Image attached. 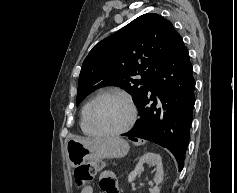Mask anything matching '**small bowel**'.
Returning a JSON list of instances; mask_svg holds the SVG:
<instances>
[{"instance_id": "c3829d8e", "label": "small bowel", "mask_w": 237, "mask_h": 193, "mask_svg": "<svg viewBox=\"0 0 237 193\" xmlns=\"http://www.w3.org/2000/svg\"><path fill=\"white\" fill-rule=\"evenodd\" d=\"M100 188L104 193H119L116 175L112 171H103L100 175ZM81 193H93L92 187H87Z\"/></svg>"}]
</instances>
